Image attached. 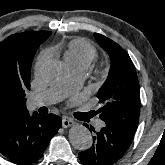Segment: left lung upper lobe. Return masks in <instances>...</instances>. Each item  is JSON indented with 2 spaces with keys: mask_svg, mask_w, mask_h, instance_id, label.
<instances>
[{
  "mask_svg": "<svg viewBox=\"0 0 165 165\" xmlns=\"http://www.w3.org/2000/svg\"><path fill=\"white\" fill-rule=\"evenodd\" d=\"M111 58L108 78L97 93L99 117L130 134H135L140 106L139 82L135 66L126 51L111 39L94 33Z\"/></svg>",
  "mask_w": 165,
  "mask_h": 165,
  "instance_id": "left-lung-upper-lobe-1",
  "label": "left lung upper lobe"
}]
</instances>
